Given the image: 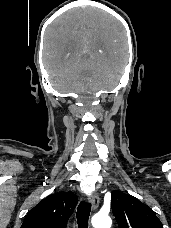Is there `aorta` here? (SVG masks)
<instances>
[{"instance_id": "aorta-1", "label": "aorta", "mask_w": 171, "mask_h": 228, "mask_svg": "<svg viewBox=\"0 0 171 228\" xmlns=\"http://www.w3.org/2000/svg\"><path fill=\"white\" fill-rule=\"evenodd\" d=\"M112 221L107 214L98 213L92 218L94 228H110Z\"/></svg>"}]
</instances>
